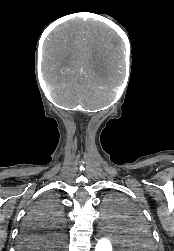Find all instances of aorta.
<instances>
[{
	"mask_svg": "<svg viewBox=\"0 0 174 251\" xmlns=\"http://www.w3.org/2000/svg\"><path fill=\"white\" fill-rule=\"evenodd\" d=\"M126 229L122 224V221L118 219L107 218L103 221L101 227V235L97 240L95 251H113V237L123 238L125 236Z\"/></svg>",
	"mask_w": 174,
	"mask_h": 251,
	"instance_id": "1",
	"label": "aorta"
}]
</instances>
